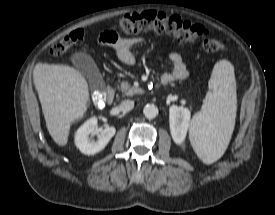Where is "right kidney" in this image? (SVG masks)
Listing matches in <instances>:
<instances>
[{"label":"right kidney","instance_id":"1","mask_svg":"<svg viewBox=\"0 0 275 215\" xmlns=\"http://www.w3.org/2000/svg\"><path fill=\"white\" fill-rule=\"evenodd\" d=\"M115 132L114 127H98L96 117H92L77 130L75 145L83 154L94 155L105 148ZM94 135H97V140H94Z\"/></svg>","mask_w":275,"mask_h":215}]
</instances>
